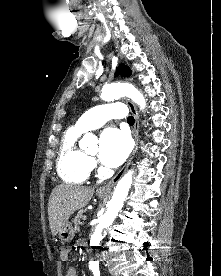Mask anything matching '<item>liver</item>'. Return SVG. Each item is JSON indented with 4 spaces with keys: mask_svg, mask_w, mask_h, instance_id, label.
I'll use <instances>...</instances> for the list:
<instances>
[{
    "mask_svg": "<svg viewBox=\"0 0 221 276\" xmlns=\"http://www.w3.org/2000/svg\"><path fill=\"white\" fill-rule=\"evenodd\" d=\"M94 194V188L71 184L56 186L49 197L48 216L51 233L56 236L70 216L85 207Z\"/></svg>",
    "mask_w": 221,
    "mask_h": 276,
    "instance_id": "liver-1",
    "label": "liver"
}]
</instances>
